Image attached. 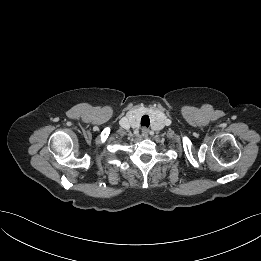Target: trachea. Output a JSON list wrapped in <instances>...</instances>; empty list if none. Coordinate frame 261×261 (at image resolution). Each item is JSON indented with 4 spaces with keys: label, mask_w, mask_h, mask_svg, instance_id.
<instances>
[{
    "label": "trachea",
    "mask_w": 261,
    "mask_h": 261,
    "mask_svg": "<svg viewBox=\"0 0 261 261\" xmlns=\"http://www.w3.org/2000/svg\"><path fill=\"white\" fill-rule=\"evenodd\" d=\"M149 124H150V119H149V116L148 115H144L142 118H141V126H145V127H149Z\"/></svg>",
    "instance_id": "1"
}]
</instances>
